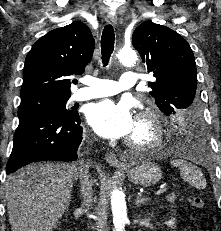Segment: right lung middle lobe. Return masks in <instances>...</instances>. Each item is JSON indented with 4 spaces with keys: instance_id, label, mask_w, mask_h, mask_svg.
<instances>
[{
    "instance_id": "dd1d6c3e",
    "label": "right lung middle lobe",
    "mask_w": 221,
    "mask_h": 231,
    "mask_svg": "<svg viewBox=\"0 0 221 231\" xmlns=\"http://www.w3.org/2000/svg\"><path fill=\"white\" fill-rule=\"evenodd\" d=\"M69 97H54V96H37L21 99V104L18 109V117H22L25 114L50 110L54 112H60L63 114H75L73 108H69L67 101Z\"/></svg>"
}]
</instances>
